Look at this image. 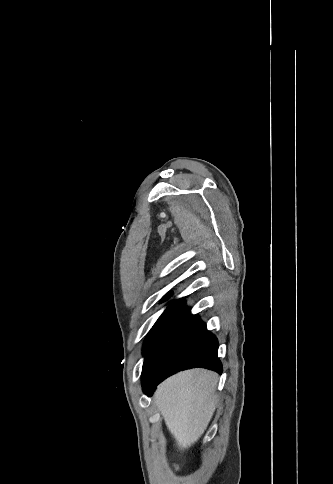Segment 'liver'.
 Masks as SVG:
<instances>
[{
	"label": "liver",
	"mask_w": 333,
	"mask_h": 484,
	"mask_svg": "<svg viewBox=\"0 0 333 484\" xmlns=\"http://www.w3.org/2000/svg\"><path fill=\"white\" fill-rule=\"evenodd\" d=\"M218 374L196 368L171 376L160 384L154 403L179 450L197 442L215 411Z\"/></svg>",
	"instance_id": "liver-1"
}]
</instances>
